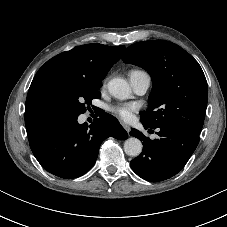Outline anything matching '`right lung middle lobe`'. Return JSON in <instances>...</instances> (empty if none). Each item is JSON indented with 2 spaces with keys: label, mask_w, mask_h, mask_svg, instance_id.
I'll list each match as a JSON object with an SVG mask.
<instances>
[{
  "label": "right lung middle lobe",
  "mask_w": 227,
  "mask_h": 227,
  "mask_svg": "<svg viewBox=\"0 0 227 227\" xmlns=\"http://www.w3.org/2000/svg\"><path fill=\"white\" fill-rule=\"evenodd\" d=\"M101 80L91 81L78 79L60 84L56 92V102L61 120L78 117L86 112L87 105L93 98H100L98 91Z\"/></svg>",
  "instance_id": "obj_1"
}]
</instances>
